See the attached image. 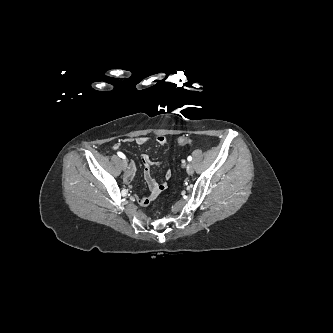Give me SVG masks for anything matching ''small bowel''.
<instances>
[{
	"instance_id": "c3829d8e",
	"label": "small bowel",
	"mask_w": 333,
	"mask_h": 333,
	"mask_svg": "<svg viewBox=\"0 0 333 333\" xmlns=\"http://www.w3.org/2000/svg\"><path fill=\"white\" fill-rule=\"evenodd\" d=\"M127 141L135 142L137 145H143L148 142V138L145 136H140L136 138H128ZM156 142L161 145L165 146L167 144V139L164 136H159L156 139ZM120 147L119 143L113 145V149L116 150ZM141 162L144 165V177L149 187V195L142 196L137 199L138 203L141 206H148L161 192L166 189V183H158L152 177L151 169L154 166H158L159 163H153L150 161L147 155L140 156ZM136 167L133 161L130 162L129 168L125 173V182L130 184L132 183L135 175ZM171 176V172L168 170L165 173V177L168 179Z\"/></svg>"
}]
</instances>
